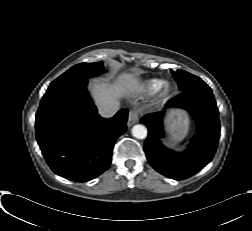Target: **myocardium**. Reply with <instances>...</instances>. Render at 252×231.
<instances>
[{
    "label": "myocardium",
    "mask_w": 252,
    "mask_h": 231,
    "mask_svg": "<svg viewBox=\"0 0 252 231\" xmlns=\"http://www.w3.org/2000/svg\"><path fill=\"white\" fill-rule=\"evenodd\" d=\"M173 90L172 84L169 81H163L159 91V97L162 99H167Z\"/></svg>",
    "instance_id": "myocardium-1"
}]
</instances>
